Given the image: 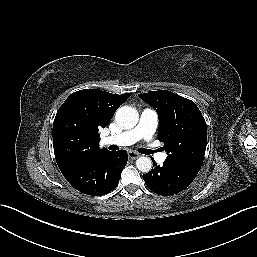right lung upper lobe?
Masks as SVG:
<instances>
[{
  "label": "right lung upper lobe",
  "instance_id": "cb5924a9",
  "mask_svg": "<svg viewBox=\"0 0 257 257\" xmlns=\"http://www.w3.org/2000/svg\"><path fill=\"white\" fill-rule=\"evenodd\" d=\"M130 95L84 89L65 100L56 114L52 131L60 170L77 167L105 152L99 148V130L109 124L115 111Z\"/></svg>",
  "mask_w": 257,
  "mask_h": 257
}]
</instances>
